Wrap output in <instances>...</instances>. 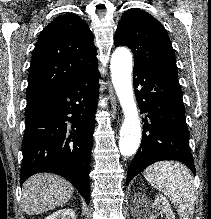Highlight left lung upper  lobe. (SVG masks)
<instances>
[{
  "instance_id": "1",
  "label": "left lung upper lobe",
  "mask_w": 211,
  "mask_h": 219,
  "mask_svg": "<svg viewBox=\"0 0 211 219\" xmlns=\"http://www.w3.org/2000/svg\"><path fill=\"white\" fill-rule=\"evenodd\" d=\"M115 46L129 47L134 64L177 69L174 50L165 28L145 11L133 8L122 14Z\"/></svg>"
}]
</instances>
